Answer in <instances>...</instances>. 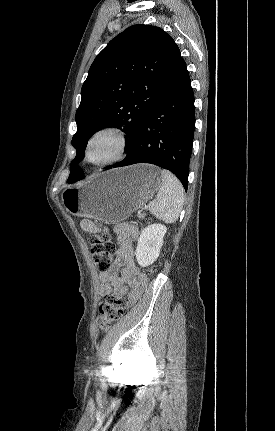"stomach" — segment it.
Returning <instances> with one entry per match:
<instances>
[{"mask_svg": "<svg viewBox=\"0 0 275 431\" xmlns=\"http://www.w3.org/2000/svg\"><path fill=\"white\" fill-rule=\"evenodd\" d=\"M162 184L160 169L137 164L97 175L62 192V204L74 216L115 223L144 206Z\"/></svg>", "mask_w": 275, "mask_h": 431, "instance_id": "1", "label": "stomach"}]
</instances>
